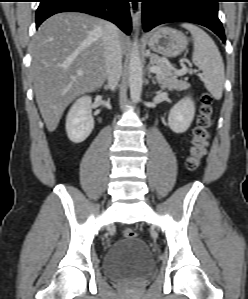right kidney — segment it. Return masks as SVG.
<instances>
[{"label": "right kidney", "instance_id": "ca27d5eb", "mask_svg": "<svg viewBox=\"0 0 248 299\" xmlns=\"http://www.w3.org/2000/svg\"><path fill=\"white\" fill-rule=\"evenodd\" d=\"M90 96L80 97L70 108L66 117V132L73 143L83 142L94 128Z\"/></svg>", "mask_w": 248, "mask_h": 299}]
</instances>
